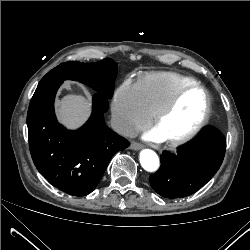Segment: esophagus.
<instances>
[{
    "label": "esophagus",
    "mask_w": 250,
    "mask_h": 250,
    "mask_svg": "<svg viewBox=\"0 0 250 250\" xmlns=\"http://www.w3.org/2000/svg\"><path fill=\"white\" fill-rule=\"evenodd\" d=\"M142 148V145L141 144H139V143H137V142H132L131 144H130V149L131 150H140Z\"/></svg>",
    "instance_id": "obj_1"
}]
</instances>
